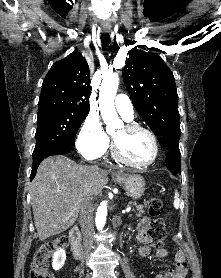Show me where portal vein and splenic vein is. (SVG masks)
<instances>
[{
  "label": "portal vein and splenic vein",
  "mask_w": 221,
  "mask_h": 278,
  "mask_svg": "<svg viewBox=\"0 0 221 278\" xmlns=\"http://www.w3.org/2000/svg\"><path fill=\"white\" fill-rule=\"evenodd\" d=\"M131 211V206H128L126 210L122 211V213H129Z\"/></svg>",
  "instance_id": "18ae733b"
}]
</instances>
